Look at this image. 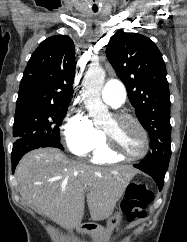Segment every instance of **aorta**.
I'll use <instances>...</instances> for the list:
<instances>
[{"label":"aorta","mask_w":187,"mask_h":242,"mask_svg":"<svg viewBox=\"0 0 187 242\" xmlns=\"http://www.w3.org/2000/svg\"><path fill=\"white\" fill-rule=\"evenodd\" d=\"M105 80V71L99 66H91L83 80V101L89 116L95 123L109 116L108 107L102 102L101 90Z\"/></svg>","instance_id":"obj_1"}]
</instances>
